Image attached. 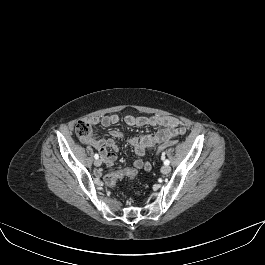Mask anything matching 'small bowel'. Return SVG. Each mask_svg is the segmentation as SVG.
<instances>
[{
	"label": "small bowel",
	"mask_w": 265,
	"mask_h": 265,
	"mask_svg": "<svg viewBox=\"0 0 265 265\" xmlns=\"http://www.w3.org/2000/svg\"><path fill=\"white\" fill-rule=\"evenodd\" d=\"M88 121L91 125L100 124L103 127H109L117 124L119 117L112 114L101 118L91 117ZM125 122L129 126L143 127L146 125H152L161 127V129L155 134H146L141 137L132 136L128 138L129 144L134 148L135 153L139 156H144L148 151L154 149L156 146L170 141L175 137H179L185 132L184 125L179 120L169 116L156 115L146 117L127 115L125 117ZM110 135L111 138L109 139L93 138L85 141L100 152L107 166H112L116 160L115 152L118 150V145L115 140L124 137L123 133L118 130H111ZM108 148L111 150L108 151ZM134 167L136 169L149 171L151 169V164L146 160H137L134 162ZM96 174L100 176L101 172L97 171Z\"/></svg>",
	"instance_id": "small-bowel-1"
}]
</instances>
